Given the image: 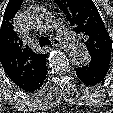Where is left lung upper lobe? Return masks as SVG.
Returning <instances> with one entry per match:
<instances>
[{
  "mask_svg": "<svg viewBox=\"0 0 113 113\" xmlns=\"http://www.w3.org/2000/svg\"><path fill=\"white\" fill-rule=\"evenodd\" d=\"M74 30L85 38L91 59L109 66L112 41L92 0H55ZM84 40H82L83 42Z\"/></svg>",
  "mask_w": 113,
  "mask_h": 113,
  "instance_id": "obj_1",
  "label": "left lung upper lobe"
}]
</instances>
